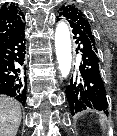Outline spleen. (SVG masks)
<instances>
[{
	"instance_id": "3e777b00",
	"label": "spleen",
	"mask_w": 117,
	"mask_h": 136,
	"mask_svg": "<svg viewBox=\"0 0 117 136\" xmlns=\"http://www.w3.org/2000/svg\"><path fill=\"white\" fill-rule=\"evenodd\" d=\"M100 123H101V125L104 127V125H105V120H104V119H100Z\"/></svg>"
}]
</instances>
